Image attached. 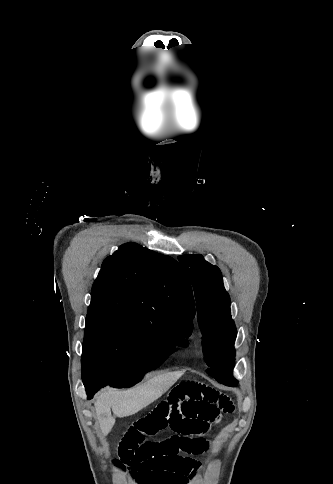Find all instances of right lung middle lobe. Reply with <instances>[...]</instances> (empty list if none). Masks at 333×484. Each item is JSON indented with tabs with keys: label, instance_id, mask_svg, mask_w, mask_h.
Returning a JSON list of instances; mask_svg holds the SVG:
<instances>
[{
	"label": "right lung middle lobe",
	"instance_id": "right-lung-middle-lobe-1",
	"mask_svg": "<svg viewBox=\"0 0 333 484\" xmlns=\"http://www.w3.org/2000/svg\"><path fill=\"white\" fill-rule=\"evenodd\" d=\"M193 327L180 318L88 312L82 351L84 384L131 387L159 367L175 347H186Z\"/></svg>",
	"mask_w": 333,
	"mask_h": 484
}]
</instances>
